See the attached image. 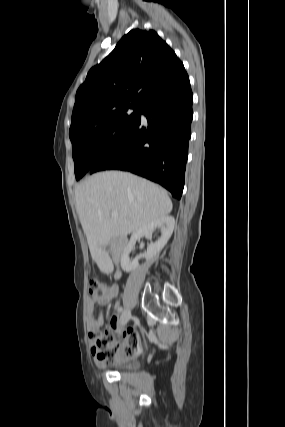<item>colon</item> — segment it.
Here are the masks:
<instances>
[{
	"label": "colon",
	"instance_id": "obj_1",
	"mask_svg": "<svg viewBox=\"0 0 285 427\" xmlns=\"http://www.w3.org/2000/svg\"><path fill=\"white\" fill-rule=\"evenodd\" d=\"M109 287L108 285L97 279V278H91L88 282V290L89 295L91 298L98 300L103 294H105L108 291ZM90 338L92 339L94 343L95 350L98 353V356L101 359L104 360H110L112 361L114 359V350H113V344L114 339L110 335V333L106 330H93L90 333ZM140 350L139 342L137 336L133 335L129 339V345L124 350V357L130 358L138 354Z\"/></svg>",
	"mask_w": 285,
	"mask_h": 427
}]
</instances>
